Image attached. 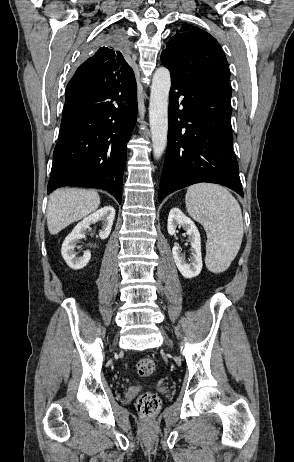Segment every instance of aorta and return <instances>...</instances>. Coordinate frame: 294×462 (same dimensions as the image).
Masks as SVG:
<instances>
[{
	"label": "aorta",
	"mask_w": 294,
	"mask_h": 462,
	"mask_svg": "<svg viewBox=\"0 0 294 462\" xmlns=\"http://www.w3.org/2000/svg\"><path fill=\"white\" fill-rule=\"evenodd\" d=\"M170 87L171 78L169 70L165 67L158 68L153 75L149 103L152 147L156 159L162 156L167 145Z\"/></svg>",
	"instance_id": "aorta-1"
}]
</instances>
